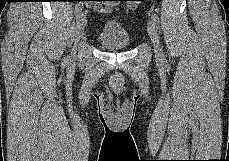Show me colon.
I'll list each match as a JSON object with an SVG mask.
<instances>
[{
  "label": "colon",
  "mask_w": 229,
  "mask_h": 161,
  "mask_svg": "<svg viewBox=\"0 0 229 161\" xmlns=\"http://www.w3.org/2000/svg\"><path fill=\"white\" fill-rule=\"evenodd\" d=\"M126 1H127L126 8L128 10H134L138 6V3L140 2V0H126Z\"/></svg>",
  "instance_id": "5ec220e1"
}]
</instances>
